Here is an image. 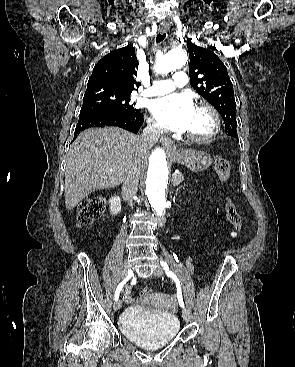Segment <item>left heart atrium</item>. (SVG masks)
Instances as JSON below:
<instances>
[{
    "label": "left heart atrium",
    "instance_id": "39dd6f15",
    "mask_svg": "<svg viewBox=\"0 0 295 367\" xmlns=\"http://www.w3.org/2000/svg\"><path fill=\"white\" fill-rule=\"evenodd\" d=\"M150 109L162 125L180 132L187 130L195 112L192 98L183 93L156 99L151 103Z\"/></svg>",
    "mask_w": 295,
    "mask_h": 367
}]
</instances>
